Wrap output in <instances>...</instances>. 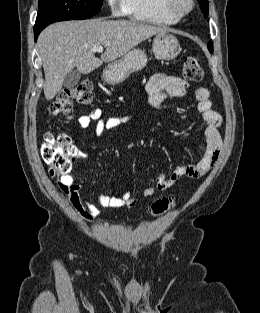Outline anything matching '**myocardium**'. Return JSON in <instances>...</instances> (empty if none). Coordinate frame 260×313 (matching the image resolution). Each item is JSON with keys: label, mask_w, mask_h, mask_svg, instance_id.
I'll return each mask as SVG.
<instances>
[{"label": "myocardium", "mask_w": 260, "mask_h": 313, "mask_svg": "<svg viewBox=\"0 0 260 313\" xmlns=\"http://www.w3.org/2000/svg\"><path fill=\"white\" fill-rule=\"evenodd\" d=\"M162 8L177 19H181L194 8V0H161Z\"/></svg>", "instance_id": "1"}]
</instances>
